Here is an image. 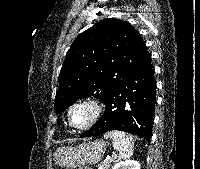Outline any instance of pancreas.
<instances>
[{"label": "pancreas", "instance_id": "1", "mask_svg": "<svg viewBox=\"0 0 200 169\" xmlns=\"http://www.w3.org/2000/svg\"><path fill=\"white\" fill-rule=\"evenodd\" d=\"M113 162H115V159L105 160L104 162L99 164L98 169H109Z\"/></svg>", "mask_w": 200, "mask_h": 169}]
</instances>
